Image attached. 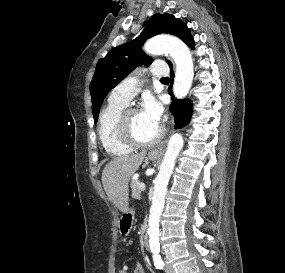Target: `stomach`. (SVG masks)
<instances>
[{"label": "stomach", "mask_w": 285, "mask_h": 273, "mask_svg": "<svg viewBox=\"0 0 285 273\" xmlns=\"http://www.w3.org/2000/svg\"><path fill=\"white\" fill-rule=\"evenodd\" d=\"M157 158H158V155L155 154V153H153V152L149 153V154H148V157H147L148 160H156ZM133 219H134V211H133L132 209H129V210L124 214L123 218L121 219V224H120V228H119V229H120V233H121L122 235H127V234H129V232H130V230H131V228H132V221H133ZM127 221H130L131 224H130V227L126 229V228H125V223H126Z\"/></svg>", "instance_id": "1"}]
</instances>
